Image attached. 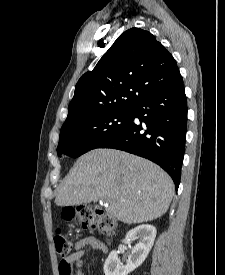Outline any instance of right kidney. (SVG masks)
Returning <instances> with one entry per match:
<instances>
[{
  "mask_svg": "<svg viewBox=\"0 0 225 275\" xmlns=\"http://www.w3.org/2000/svg\"><path fill=\"white\" fill-rule=\"evenodd\" d=\"M156 237V228L150 224H143L130 230L125 240L131 242L136 238L140 241L132 248L128 256L127 264L123 265L118 259V252H110L104 264L105 275H128L138 268L147 258Z\"/></svg>",
  "mask_w": 225,
  "mask_h": 275,
  "instance_id": "obj_1",
  "label": "right kidney"
}]
</instances>
